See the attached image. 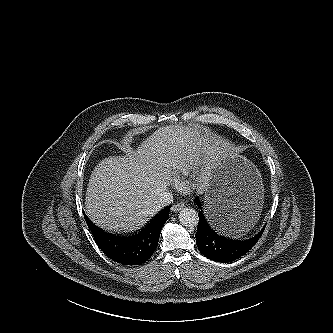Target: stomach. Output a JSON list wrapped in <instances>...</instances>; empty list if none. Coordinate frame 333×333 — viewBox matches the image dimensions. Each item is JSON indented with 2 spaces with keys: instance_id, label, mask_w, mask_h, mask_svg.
<instances>
[{
  "instance_id": "stomach-1",
  "label": "stomach",
  "mask_w": 333,
  "mask_h": 333,
  "mask_svg": "<svg viewBox=\"0 0 333 333\" xmlns=\"http://www.w3.org/2000/svg\"><path fill=\"white\" fill-rule=\"evenodd\" d=\"M264 187L257 167L227 145L215 146L205 189L206 221L226 236H240L259 219Z\"/></svg>"
}]
</instances>
